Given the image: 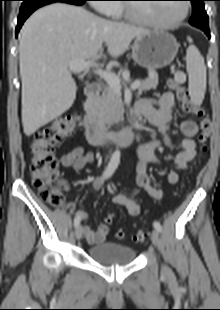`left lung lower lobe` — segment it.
<instances>
[{
  "mask_svg": "<svg viewBox=\"0 0 220 310\" xmlns=\"http://www.w3.org/2000/svg\"><path fill=\"white\" fill-rule=\"evenodd\" d=\"M205 32V34L208 36V38H210V32L209 29H201Z\"/></svg>",
  "mask_w": 220,
  "mask_h": 310,
  "instance_id": "obj_1",
  "label": "left lung lower lobe"
}]
</instances>
